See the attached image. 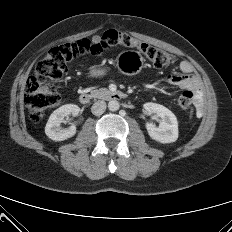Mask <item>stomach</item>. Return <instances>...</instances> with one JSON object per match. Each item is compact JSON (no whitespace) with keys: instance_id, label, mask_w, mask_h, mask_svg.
<instances>
[{"instance_id":"obj_1","label":"stomach","mask_w":232,"mask_h":232,"mask_svg":"<svg viewBox=\"0 0 232 232\" xmlns=\"http://www.w3.org/2000/svg\"><path fill=\"white\" fill-rule=\"evenodd\" d=\"M144 58L138 51H124L117 57V67L120 72L127 75H134L140 72L144 64ZM108 69L100 65L89 68V75L92 77H103L107 75Z\"/></svg>"}]
</instances>
